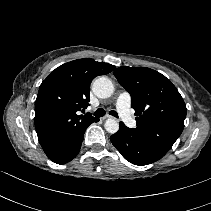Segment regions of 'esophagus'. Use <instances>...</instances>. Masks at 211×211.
I'll list each match as a JSON object with an SVG mask.
<instances>
[{"mask_svg": "<svg viewBox=\"0 0 211 211\" xmlns=\"http://www.w3.org/2000/svg\"><path fill=\"white\" fill-rule=\"evenodd\" d=\"M109 118H112V117L109 116V115H106V116H104L102 119H103V120H106V119H109Z\"/></svg>", "mask_w": 211, "mask_h": 211, "instance_id": "obj_1", "label": "esophagus"}]
</instances>
